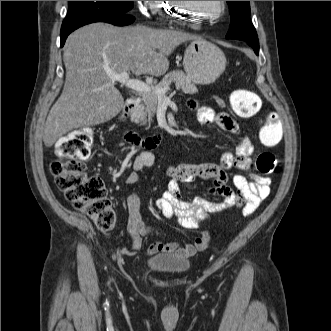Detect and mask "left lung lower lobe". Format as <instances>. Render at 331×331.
Returning a JSON list of instances; mask_svg holds the SVG:
<instances>
[{
	"label": "left lung lower lobe",
	"instance_id": "0a47b994",
	"mask_svg": "<svg viewBox=\"0 0 331 331\" xmlns=\"http://www.w3.org/2000/svg\"><path fill=\"white\" fill-rule=\"evenodd\" d=\"M246 43L249 44L254 49V52L257 55L259 54V42H258V40L257 41H248Z\"/></svg>",
	"mask_w": 331,
	"mask_h": 331
}]
</instances>
